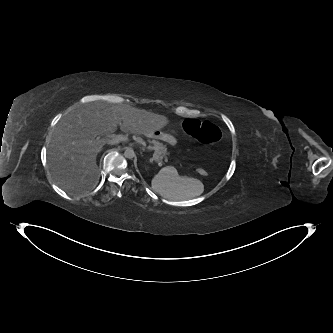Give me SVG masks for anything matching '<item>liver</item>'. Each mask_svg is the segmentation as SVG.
<instances>
[{
  "label": "liver",
  "mask_w": 333,
  "mask_h": 333,
  "mask_svg": "<svg viewBox=\"0 0 333 333\" xmlns=\"http://www.w3.org/2000/svg\"><path fill=\"white\" fill-rule=\"evenodd\" d=\"M164 115L128 104L96 101L79 106L63 117L54 129L48 149V166L54 181L65 191L84 192L99 180L97 154L110 136L124 133L156 138L154 132L168 124Z\"/></svg>",
  "instance_id": "1"
}]
</instances>
